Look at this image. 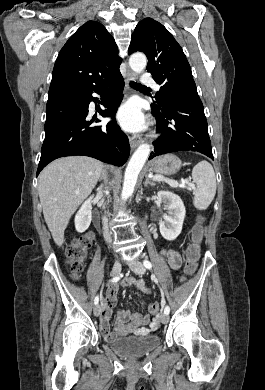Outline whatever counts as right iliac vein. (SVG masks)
I'll list each match as a JSON object with an SVG mask.
<instances>
[{
	"label": "right iliac vein",
	"instance_id": "right-iliac-vein-1",
	"mask_svg": "<svg viewBox=\"0 0 265 390\" xmlns=\"http://www.w3.org/2000/svg\"><path fill=\"white\" fill-rule=\"evenodd\" d=\"M121 268H122L121 262H120L119 259H117V260L115 261V264H114L112 270H111V275H112V276H117V275H119L120 272H121ZM93 311H94V315H95V316H99L100 313H101V307H100V305H99V304L95 305Z\"/></svg>",
	"mask_w": 265,
	"mask_h": 390
}]
</instances>
